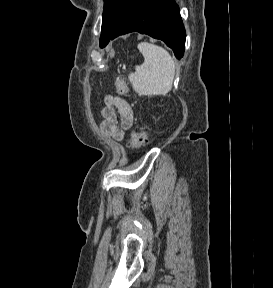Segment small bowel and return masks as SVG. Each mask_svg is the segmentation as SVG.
<instances>
[{
	"label": "small bowel",
	"instance_id": "obj_1",
	"mask_svg": "<svg viewBox=\"0 0 273 288\" xmlns=\"http://www.w3.org/2000/svg\"><path fill=\"white\" fill-rule=\"evenodd\" d=\"M100 113L102 133L115 141H122L133 124L134 115L131 105L120 96L107 94Z\"/></svg>",
	"mask_w": 273,
	"mask_h": 288
}]
</instances>
